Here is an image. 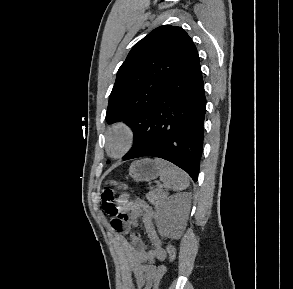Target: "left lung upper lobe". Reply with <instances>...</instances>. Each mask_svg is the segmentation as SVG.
I'll use <instances>...</instances> for the list:
<instances>
[{
  "label": "left lung upper lobe",
  "instance_id": "obj_1",
  "mask_svg": "<svg viewBox=\"0 0 293 289\" xmlns=\"http://www.w3.org/2000/svg\"><path fill=\"white\" fill-rule=\"evenodd\" d=\"M199 59L181 27L163 25L140 40L117 72L106 121H124L131 128L145 110Z\"/></svg>",
  "mask_w": 293,
  "mask_h": 289
}]
</instances>
